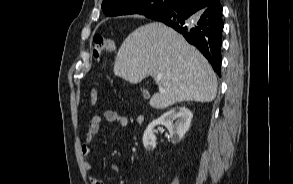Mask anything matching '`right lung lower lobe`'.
<instances>
[{"mask_svg": "<svg viewBox=\"0 0 293 184\" xmlns=\"http://www.w3.org/2000/svg\"><path fill=\"white\" fill-rule=\"evenodd\" d=\"M152 19L180 32L208 59L221 76V43L224 23L220 0L205 7L199 0H176Z\"/></svg>", "mask_w": 293, "mask_h": 184, "instance_id": "98d812e1", "label": "right lung lower lobe"}]
</instances>
